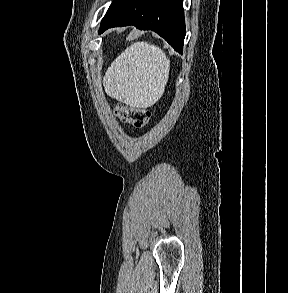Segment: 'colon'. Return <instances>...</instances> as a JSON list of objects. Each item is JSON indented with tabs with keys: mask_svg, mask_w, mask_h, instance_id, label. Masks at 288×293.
<instances>
[{
	"mask_svg": "<svg viewBox=\"0 0 288 293\" xmlns=\"http://www.w3.org/2000/svg\"><path fill=\"white\" fill-rule=\"evenodd\" d=\"M115 113L120 120L132 124L136 128H142L151 119V112L147 109L135 108L119 105L115 108Z\"/></svg>",
	"mask_w": 288,
	"mask_h": 293,
	"instance_id": "obj_1",
	"label": "colon"
}]
</instances>
